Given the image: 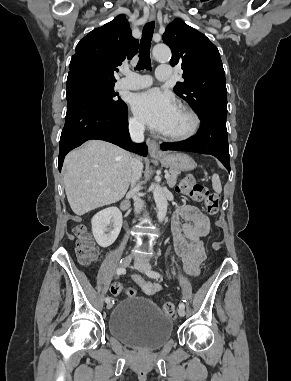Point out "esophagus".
Segmentation results:
<instances>
[{
  "instance_id": "34e87169",
  "label": "esophagus",
  "mask_w": 291,
  "mask_h": 381,
  "mask_svg": "<svg viewBox=\"0 0 291 381\" xmlns=\"http://www.w3.org/2000/svg\"><path fill=\"white\" fill-rule=\"evenodd\" d=\"M155 17H156L155 9L151 8L149 13H148L149 21L155 20ZM147 145H148L150 155H161L162 154V152L159 149V145H158L157 141H155L153 139H148Z\"/></svg>"
}]
</instances>
